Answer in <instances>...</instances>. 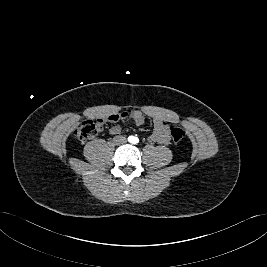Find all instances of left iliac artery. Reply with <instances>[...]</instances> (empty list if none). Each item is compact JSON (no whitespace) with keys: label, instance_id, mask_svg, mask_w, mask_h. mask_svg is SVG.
Returning <instances> with one entry per match:
<instances>
[{"label":"left iliac artery","instance_id":"obj_1","mask_svg":"<svg viewBox=\"0 0 267 267\" xmlns=\"http://www.w3.org/2000/svg\"><path fill=\"white\" fill-rule=\"evenodd\" d=\"M138 142H139L138 138H135L134 143H138Z\"/></svg>","mask_w":267,"mask_h":267}]
</instances>
